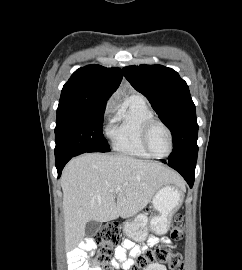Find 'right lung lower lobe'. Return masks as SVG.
I'll return each instance as SVG.
<instances>
[{
    "label": "right lung lower lobe",
    "mask_w": 242,
    "mask_h": 270,
    "mask_svg": "<svg viewBox=\"0 0 242 270\" xmlns=\"http://www.w3.org/2000/svg\"><path fill=\"white\" fill-rule=\"evenodd\" d=\"M71 158H72V157H67V158H64V159H62V160H60V161H56V168H57V171H58V177H60L63 167L65 166V164H66Z\"/></svg>",
    "instance_id": "obj_1"
}]
</instances>
